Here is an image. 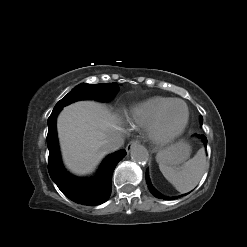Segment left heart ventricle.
Returning <instances> with one entry per match:
<instances>
[{
	"label": "left heart ventricle",
	"instance_id": "1",
	"mask_svg": "<svg viewBox=\"0 0 247 247\" xmlns=\"http://www.w3.org/2000/svg\"><path fill=\"white\" fill-rule=\"evenodd\" d=\"M185 107L181 103H175L164 114L162 126L167 131L177 129L185 119Z\"/></svg>",
	"mask_w": 247,
	"mask_h": 247
}]
</instances>
